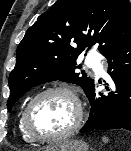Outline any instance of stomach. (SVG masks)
<instances>
[{"mask_svg":"<svg viewBox=\"0 0 131 151\" xmlns=\"http://www.w3.org/2000/svg\"><path fill=\"white\" fill-rule=\"evenodd\" d=\"M45 151H89V145L82 140H66L47 148Z\"/></svg>","mask_w":131,"mask_h":151,"instance_id":"obj_1","label":"stomach"}]
</instances>
